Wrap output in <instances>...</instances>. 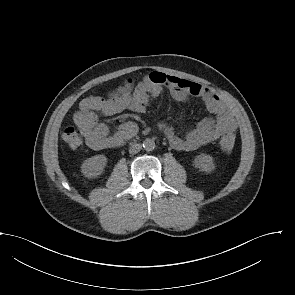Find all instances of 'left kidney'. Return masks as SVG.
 Instances as JSON below:
<instances>
[{
    "label": "left kidney",
    "mask_w": 295,
    "mask_h": 295,
    "mask_svg": "<svg viewBox=\"0 0 295 295\" xmlns=\"http://www.w3.org/2000/svg\"><path fill=\"white\" fill-rule=\"evenodd\" d=\"M194 166L199 168L200 171H205L207 173H210L215 169L213 157L203 153L196 156L194 159Z\"/></svg>",
    "instance_id": "5707ae66"
}]
</instances>
